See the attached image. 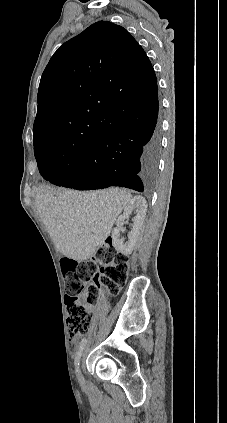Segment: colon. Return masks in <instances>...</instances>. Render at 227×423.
<instances>
[{
	"label": "colon",
	"instance_id": "5ec220e1",
	"mask_svg": "<svg viewBox=\"0 0 227 423\" xmlns=\"http://www.w3.org/2000/svg\"><path fill=\"white\" fill-rule=\"evenodd\" d=\"M61 267L66 288V326L69 338L74 339L89 330L90 309L98 299L100 287L105 286L111 294H117L124 286L128 258L111 242H105L92 260L63 259Z\"/></svg>",
	"mask_w": 227,
	"mask_h": 423
}]
</instances>
